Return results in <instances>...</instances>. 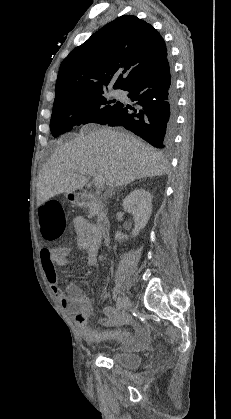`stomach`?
<instances>
[{"mask_svg": "<svg viewBox=\"0 0 231 419\" xmlns=\"http://www.w3.org/2000/svg\"><path fill=\"white\" fill-rule=\"evenodd\" d=\"M66 197H67V199H68L71 203H73V204H77V203L79 202V197H78V195H77V194H75V193H68V194L66 195Z\"/></svg>", "mask_w": 231, "mask_h": 419, "instance_id": "1", "label": "stomach"}]
</instances>
